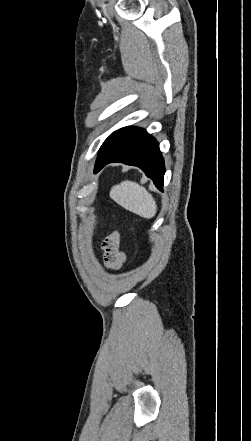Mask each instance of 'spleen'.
<instances>
[{"mask_svg":"<svg viewBox=\"0 0 251 441\" xmlns=\"http://www.w3.org/2000/svg\"><path fill=\"white\" fill-rule=\"evenodd\" d=\"M109 194L117 204L143 218H153L157 212L152 195L136 182L125 180L113 186Z\"/></svg>","mask_w":251,"mask_h":441,"instance_id":"1","label":"spleen"}]
</instances>
